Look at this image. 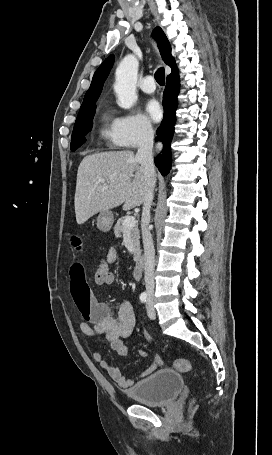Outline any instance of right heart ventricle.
<instances>
[{
	"label": "right heart ventricle",
	"instance_id": "right-heart-ventricle-1",
	"mask_svg": "<svg viewBox=\"0 0 272 455\" xmlns=\"http://www.w3.org/2000/svg\"><path fill=\"white\" fill-rule=\"evenodd\" d=\"M100 134L110 147L119 146L116 140L114 120L106 112L101 116Z\"/></svg>",
	"mask_w": 272,
	"mask_h": 455
}]
</instances>
